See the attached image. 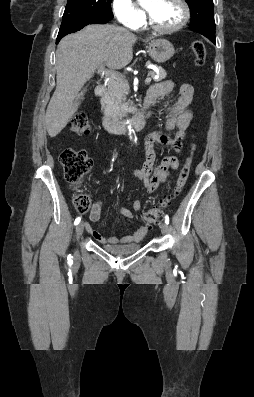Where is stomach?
I'll return each mask as SVG.
<instances>
[{
  "instance_id": "0dacf381",
  "label": "stomach",
  "mask_w": 254,
  "mask_h": 397,
  "mask_svg": "<svg viewBox=\"0 0 254 397\" xmlns=\"http://www.w3.org/2000/svg\"><path fill=\"white\" fill-rule=\"evenodd\" d=\"M148 53L154 61L164 63L174 55L175 50L167 39H153L148 44Z\"/></svg>"
}]
</instances>
